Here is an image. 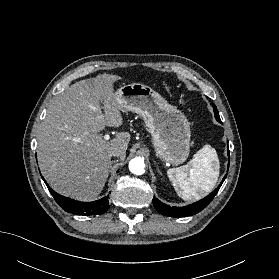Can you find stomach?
<instances>
[{
  "mask_svg": "<svg viewBox=\"0 0 279 279\" xmlns=\"http://www.w3.org/2000/svg\"><path fill=\"white\" fill-rule=\"evenodd\" d=\"M121 109L139 114L152 135L157 157L173 165L183 163L190 151V125L185 115L158 92L142 83H131L116 92Z\"/></svg>",
  "mask_w": 279,
  "mask_h": 279,
  "instance_id": "0dacf381",
  "label": "stomach"
}]
</instances>
